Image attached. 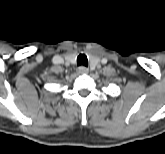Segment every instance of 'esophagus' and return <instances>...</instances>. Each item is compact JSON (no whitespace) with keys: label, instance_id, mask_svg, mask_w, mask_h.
I'll return each instance as SVG.
<instances>
[{"label":"esophagus","instance_id":"1","mask_svg":"<svg viewBox=\"0 0 165 154\" xmlns=\"http://www.w3.org/2000/svg\"><path fill=\"white\" fill-rule=\"evenodd\" d=\"M88 71H89L88 68L85 67V66H79V67L77 68V72H78L79 74H87Z\"/></svg>","mask_w":165,"mask_h":154}]
</instances>
